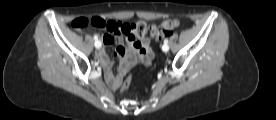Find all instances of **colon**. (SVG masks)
Here are the masks:
<instances>
[{"label": "colon", "mask_w": 276, "mask_h": 120, "mask_svg": "<svg viewBox=\"0 0 276 120\" xmlns=\"http://www.w3.org/2000/svg\"><path fill=\"white\" fill-rule=\"evenodd\" d=\"M177 19H166L160 25L148 26L143 21H136L122 25L121 32L127 39H141L147 35L161 40L171 34V32L178 26ZM108 22L100 17L93 18H77L71 22V27L76 31H83L89 27L97 29H105ZM130 84V78L124 80H117L115 86L120 93L126 92Z\"/></svg>", "instance_id": "5ec220e1"}]
</instances>
